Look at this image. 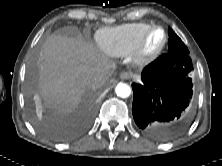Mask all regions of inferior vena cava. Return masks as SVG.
<instances>
[{
	"instance_id": "602c4592",
	"label": "inferior vena cava",
	"mask_w": 222,
	"mask_h": 166,
	"mask_svg": "<svg viewBox=\"0 0 222 166\" xmlns=\"http://www.w3.org/2000/svg\"><path fill=\"white\" fill-rule=\"evenodd\" d=\"M102 80H103V77L101 75L94 74V75L89 76L88 83L92 85H95V84L100 85Z\"/></svg>"
}]
</instances>
